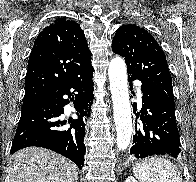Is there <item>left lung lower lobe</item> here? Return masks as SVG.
<instances>
[{"mask_svg":"<svg viewBox=\"0 0 196 182\" xmlns=\"http://www.w3.org/2000/svg\"><path fill=\"white\" fill-rule=\"evenodd\" d=\"M128 79L130 82L136 79L140 80L131 73H128ZM141 89L143 104L140 113H137L141 122H136L130 153L136 158L152 155L178 157L181 152V144L175 117V106L144 83H142ZM133 112H137L136 103L133 104Z\"/></svg>","mask_w":196,"mask_h":182,"instance_id":"obj_1","label":"left lung lower lobe"}]
</instances>
